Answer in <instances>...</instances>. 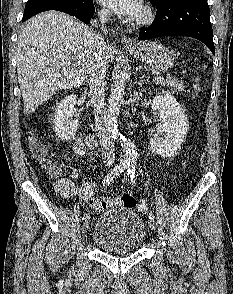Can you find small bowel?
Instances as JSON below:
<instances>
[{"mask_svg":"<svg viewBox=\"0 0 233 294\" xmlns=\"http://www.w3.org/2000/svg\"><path fill=\"white\" fill-rule=\"evenodd\" d=\"M84 140L80 141L78 145L74 146V151L79 155H84L86 152V147ZM55 189L57 193L65 198L70 199L72 197L79 198L82 202L92 201H103L104 199H92L94 192V186L91 183H84L80 186H76L71 180L62 178L56 181ZM108 201V200H106Z\"/></svg>","mask_w":233,"mask_h":294,"instance_id":"obj_1","label":"small bowel"}]
</instances>
